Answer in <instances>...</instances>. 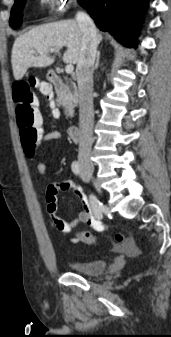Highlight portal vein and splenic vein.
I'll use <instances>...</instances> for the list:
<instances>
[{
  "mask_svg": "<svg viewBox=\"0 0 171 337\" xmlns=\"http://www.w3.org/2000/svg\"><path fill=\"white\" fill-rule=\"evenodd\" d=\"M73 70H74V67H73L72 64L66 65L65 71H66L67 74H71L73 72Z\"/></svg>",
  "mask_w": 171,
  "mask_h": 337,
  "instance_id": "obj_1",
  "label": "portal vein and splenic vein"
}]
</instances>
